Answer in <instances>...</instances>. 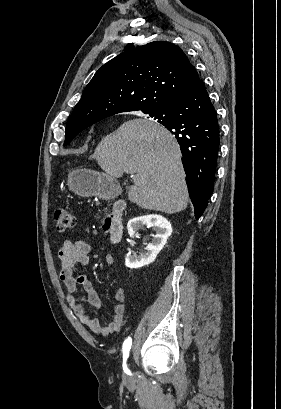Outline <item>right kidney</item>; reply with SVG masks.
<instances>
[{"label": "right kidney", "instance_id": "1", "mask_svg": "<svg viewBox=\"0 0 281 409\" xmlns=\"http://www.w3.org/2000/svg\"><path fill=\"white\" fill-rule=\"evenodd\" d=\"M145 227H152L155 235H153V239L147 245L144 253H139V255L127 253L125 265L129 269H140V267L153 263L172 233V225L165 217H161V215H143V217H134V219L128 221V235L132 237L139 229H145Z\"/></svg>", "mask_w": 281, "mask_h": 409}]
</instances>
